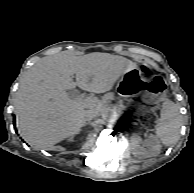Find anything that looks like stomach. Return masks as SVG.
I'll return each mask as SVG.
<instances>
[{"label":"stomach","instance_id":"1","mask_svg":"<svg viewBox=\"0 0 194 193\" xmlns=\"http://www.w3.org/2000/svg\"><path fill=\"white\" fill-rule=\"evenodd\" d=\"M118 89L127 96L143 94L150 103H158L165 99L167 82L161 75L144 79L137 69H132L121 76Z\"/></svg>","mask_w":194,"mask_h":193}]
</instances>
